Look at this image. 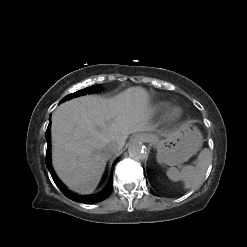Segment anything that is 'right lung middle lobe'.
<instances>
[{"label":"right lung middle lobe","instance_id":"obj_1","mask_svg":"<svg viewBox=\"0 0 247 247\" xmlns=\"http://www.w3.org/2000/svg\"><path fill=\"white\" fill-rule=\"evenodd\" d=\"M98 87H99V85H93V86L87 87V88H85L83 90H79V91H77L75 93L69 94L66 97H64L61 100V102H64V101L69 100V99L74 98V97H78L80 95H85V94H90V93H93V92H97V91L100 90Z\"/></svg>","mask_w":247,"mask_h":247}]
</instances>
